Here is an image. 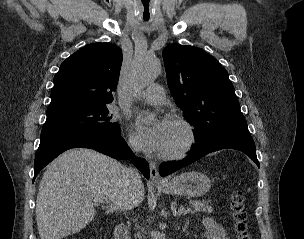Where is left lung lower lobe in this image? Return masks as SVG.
<instances>
[{
	"label": "left lung lower lobe",
	"mask_w": 304,
	"mask_h": 239,
	"mask_svg": "<svg viewBox=\"0 0 304 239\" xmlns=\"http://www.w3.org/2000/svg\"><path fill=\"white\" fill-rule=\"evenodd\" d=\"M226 148L239 150L245 153L259 167V162L256 156L255 143L252 137L241 135H228L217 138L202 145H197V147L192 152H190V154L183 160L161 164L160 175L167 176L173 173L174 171L200 159L208 153Z\"/></svg>",
	"instance_id": "left-lung-lower-lobe-1"
}]
</instances>
